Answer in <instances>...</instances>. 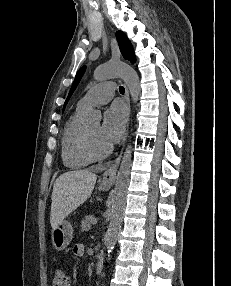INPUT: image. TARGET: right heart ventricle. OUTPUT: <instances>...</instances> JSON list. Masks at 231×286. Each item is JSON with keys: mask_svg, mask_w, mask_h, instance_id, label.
Listing matches in <instances>:
<instances>
[{"mask_svg": "<svg viewBox=\"0 0 231 286\" xmlns=\"http://www.w3.org/2000/svg\"><path fill=\"white\" fill-rule=\"evenodd\" d=\"M83 112L82 108L76 109L67 121L61 137V160L69 169H81L91 162L81 151V135L84 128Z\"/></svg>", "mask_w": 231, "mask_h": 286, "instance_id": "right-heart-ventricle-1", "label": "right heart ventricle"}]
</instances>
